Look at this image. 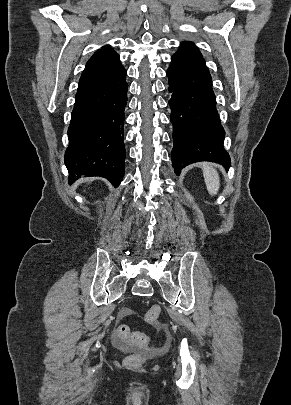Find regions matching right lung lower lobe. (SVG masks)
Here are the masks:
<instances>
[{"mask_svg": "<svg viewBox=\"0 0 291 405\" xmlns=\"http://www.w3.org/2000/svg\"><path fill=\"white\" fill-rule=\"evenodd\" d=\"M126 70L116 77L77 90L68 128L64 161L69 183L100 176L117 187L124 176Z\"/></svg>", "mask_w": 291, "mask_h": 405, "instance_id": "right-lung-lower-lobe-1", "label": "right lung lower lobe"}]
</instances>
